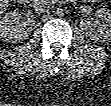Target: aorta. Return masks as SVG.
Returning <instances> with one entry per match:
<instances>
[{
	"label": "aorta",
	"mask_w": 111,
	"mask_h": 106,
	"mask_svg": "<svg viewBox=\"0 0 111 106\" xmlns=\"http://www.w3.org/2000/svg\"><path fill=\"white\" fill-rule=\"evenodd\" d=\"M56 14H57L58 16H63V15H64V10L61 9V8H58V9L56 10Z\"/></svg>",
	"instance_id": "1"
}]
</instances>
